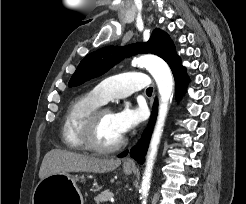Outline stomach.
I'll use <instances>...</instances> for the list:
<instances>
[{"mask_svg": "<svg viewBox=\"0 0 246 204\" xmlns=\"http://www.w3.org/2000/svg\"><path fill=\"white\" fill-rule=\"evenodd\" d=\"M124 174L130 175L132 168H124ZM84 176L58 173L42 179L33 192L32 204H82L83 197L77 187V181Z\"/></svg>", "mask_w": 246, "mask_h": 204, "instance_id": "0dacf381", "label": "stomach"}]
</instances>
